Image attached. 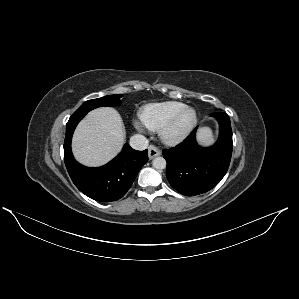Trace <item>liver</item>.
Returning a JSON list of instances; mask_svg holds the SVG:
<instances>
[{
	"label": "liver",
	"instance_id": "1",
	"mask_svg": "<svg viewBox=\"0 0 299 299\" xmlns=\"http://www.w3.org/2000/svg\"><path fill=\"white\" fill-rule=\"evenodd\" d=\"M199 137L211 141L210 131L201 129ZM125 141L119 113L109 107L95 109L78 124L72 141L75 158L87 166H101L120 152Z\"/></svg>",
	"mask_w": 299,
	"mask_h": 299
}]
</instances>
